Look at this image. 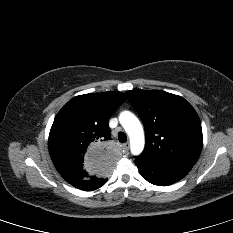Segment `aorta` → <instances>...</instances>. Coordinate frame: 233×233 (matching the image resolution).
I'll return each mask as SVG.
<instances>
[{
  "label": "aorta",
  "mask_w": 233,
  "mask_h": 233,
  "mask_svg": "<svg viewBox=\"0 0 233 233\" xmlns=\"http://www.w3.org/2000/svg\"><path fill=\"white\" fill-rule=\"evenodd\" d=\"M119 121L130 138L131 153L139 155L145 145L144 131L140 121L129 111L122 112L119 116Z\"/></svg>",
  "instance_id": "aorta-1"
}]
</instances>
